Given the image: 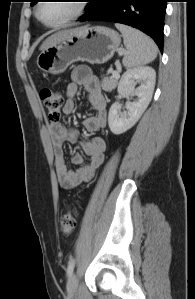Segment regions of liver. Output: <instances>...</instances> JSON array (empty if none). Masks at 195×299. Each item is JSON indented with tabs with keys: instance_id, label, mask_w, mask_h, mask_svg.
I'll list each match as a JSON object with an SVG mask.
<instances>
[{
	"instance_id": "obj_1",
	"label": "liver",
	"mask_w": 195,
	"mask_h": 299,
	"mask_svg": "<svg viewBox=\"0 0 195 299\" xmlns=\"http://www.w3.org/2000/svg\"><path fill=\"white\" fill-rule=\"evenodd\" d=\"M70 32H72V30H64V31H58L56 33H54L53 35H51L50 37H48L41 45L40 49L44 50L50 46H52L53 44H55L57 41H59L60 39H62L63 37H65L66 35H68Z\"/></svg>"
}]
</instances>
